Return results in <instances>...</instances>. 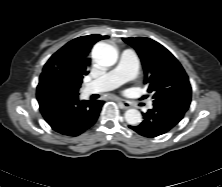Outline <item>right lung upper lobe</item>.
Listing matches in <instances>:
<instances>
[{
  "label": "right lung upper lobe",
  "instance_id": "cb5924a9",
  "mask_svg": "<svg viewBox=\"0 0 222 187\" xmlns=\"http://www.w3.org/2000/svg\"><path fill=\"white\" fill-rule=\"evenodd\" d=\"M107 38L109 37L93 34L78 37L68 42L51 56L45 64L42 74L70 73L82 79L84 75L88 74L90 66L89 53L92 46L96 42Z\"/></svg>",
  "mask_w": 222,
  "mask_h": 187
}]
</instances>
